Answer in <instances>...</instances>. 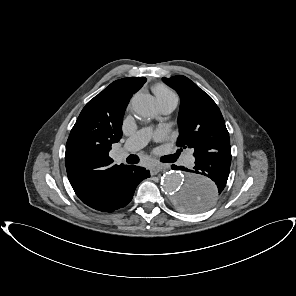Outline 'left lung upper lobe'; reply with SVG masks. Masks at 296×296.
Wrapping results in <instances>:
<instances>
[{
	"instance_id": "left-lung-upper-lobe-1",
	"label": "left lung upper lobe",
	"mask_w": 296,
	"mask_h": 296,
	"mask_svg": "<svg viewBox=\"0 0 296 296\" xmlns=\"http://www.w3.org/2000/svg\"><path fill=\"white\" fill-rule=\"evenodd\" d=\"M163 81L174 88L181 99L178 115L180 136L177 145L193 148L195 158L230 148L229 133L213 99L185 76L164 77ZM184 203L181 208L185 209Z\"/></svg>"
}]
</instances>
